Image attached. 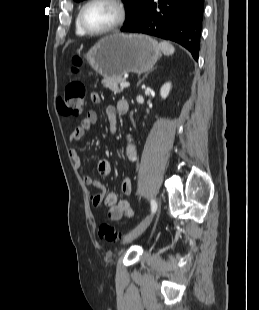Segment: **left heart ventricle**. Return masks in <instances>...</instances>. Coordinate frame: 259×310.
<instances>
[{"instance_id": "1", "label": "left heart ventricle", "mask_w": 259, "mask_h": 310, "mask_svg": "<svg viewBox=\"0 0 259 310\" xmlns=\"http://www.w3.org/2000/svg\"><path fill=\"white\" fill-rule=\"evenodd\" d=\"M118 11L114 5L98 1L89 5L83 14L87 27L92 30H102L110 26L117 19Z\"/></svg>"}]
</instances>
